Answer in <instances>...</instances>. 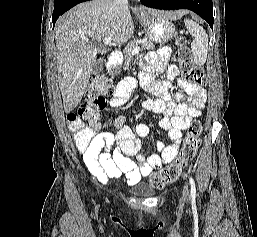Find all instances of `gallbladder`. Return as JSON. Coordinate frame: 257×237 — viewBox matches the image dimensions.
I'll use <instances>...</instances> for the list:
<instances>
[{
	"label": "gallbladder",
	"instance_id": "obj_1",
	"mask_svg": "<svg viewBox=\"0 0 257 237\" xmlns=\"http://www.w3.org/2000/svg\"><path fill=\"white\" fill-rule=\"evenodd\" d=\"M104 64L105 60L103 58H99L92 69V74L100 73L103 70Z\"/></svg>",
	"mask_w": 257,
	"mask_h": 237
}]
</instances>
